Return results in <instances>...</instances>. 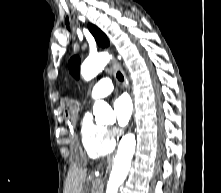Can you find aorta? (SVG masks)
<instances>
[{"mask_svg":"<svg viewBox=\"0 0 221 193\" xmlns=\"http://www.w3.org/2000/svg\"><path fill=\"white\" fill-rule=\"evenodd\" d=\"M111 56L108 53H99L89 56L81 65V75L89 81L96 77L108 64ZM93 114L96 120H103L113 116V110L103 100L94 103ZM136 148L135 135L126 134L120 141L117 154L114 158L113 168L107 184L106 193H117L118 188L124 182L131 167V161Z\"/></svg>","mask_w":221,"mask_h":193,"instance_id":"aorta-1","label":"aorta"}]
</instances>
